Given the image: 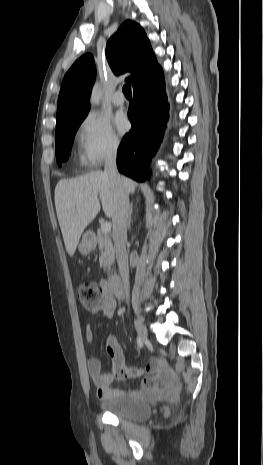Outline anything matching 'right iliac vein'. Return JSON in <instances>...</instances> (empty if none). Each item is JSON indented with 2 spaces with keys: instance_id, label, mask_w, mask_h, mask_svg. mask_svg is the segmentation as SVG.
I'll return each instance as SVG.
<instances>
[{
  "instance_id": "obj_1",
  "label": "right iliac vein",
  "mask_w": 263,
  "mask_h": 465,
  "mask_svg": "<svg viewBox=\"0 0 263 465\" xmlns=\"http://www.w3.org/2000/svg\"><path fill=\"white\" fill-rule=\"evenodd\" d=\"M134 326H135V329H136V331L138 333L139 338L143 342L147 341V339H148L147 328L145 327V325L143 324V322L139 318L134 319Z\"/></svg>"
}]
</instances>
